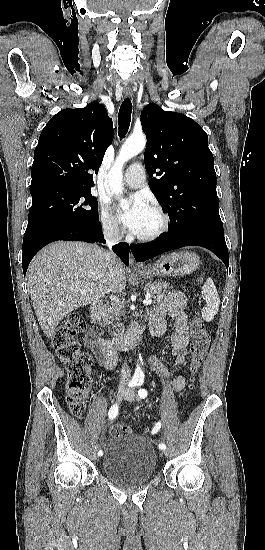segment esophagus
<instances>
[{"label": "esophagus", "instance_id": "esophagus-1", "mask_svg": "<svg viewBox=\"0 0 265 550\" xmlns=\"http://www.w3.org/2000/svg\"><path fill=\"white\" fill-rule=\"evenodd\" d=\"M124 95H125L126 97H132L133 92H132V91L125 90V91H124ZM130 266H131L132 268H135V269L141 267V266L136 262V260H135V258H134V256H133L132 253H130Z\"/></svg>", "mask_w": 265, "mask_h": 550}]
</instances>
